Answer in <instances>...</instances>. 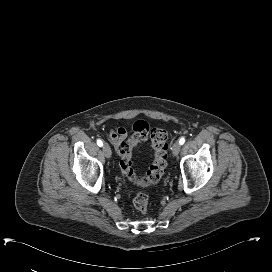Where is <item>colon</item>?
Returning a JSON list of instances; mask_svg holds the SVG:
<instances>
[{
  "instance_id": "obj_1",
  "label": "colon",
  "mask_w": 272,
  "mask_h": 272,
  "mask_svg": "<svg viewBox=\"0 0 272 272\" xmlns=\"http://www.w3.org/2000/svg\"><path fill=\"white\" fill-rule=\"evenodd\" d=\"M150 140L154 150V160L147 174L139 178L135 175L132 162L133 148L138 144ZM168 133L164 128H152L145 120H137L133 124L132 137L121 144L119 149L120 168L123 176L131 182L147 187L157 183L164 175L167 167ZM133 207L139 214H146L149 208V197L145 193H137L133 200Z\"/></svg>"
}]
</instances>
